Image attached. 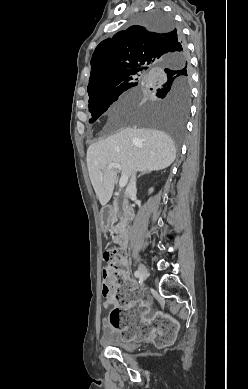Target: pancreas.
I'll return each instance as SVG.
<instances>
[{
  "label": "pancreas",
  "instance_id": "pancreas-1",
  "mask_svg": "<svg viewBox=\"0 0 248 389\" xmlns=\"http://www.w3.org/2000/svg\"><path fill=\"white\" fill-rule=\"evenodd\" d=\"M119 218V212L118 208L114 207L111 215V223H115ZM112 230L118 235L119 233L122 232L123 228L121 223H118L115 227H112Z\"/></svg>",
  "mask_w": 248,
  "mask_h": 389
}]
</instances>
